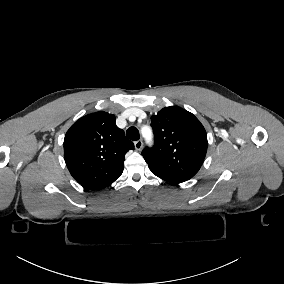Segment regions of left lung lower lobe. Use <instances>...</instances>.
Returning a JSON list of instances; mask_svg holds the SVG:
<instances>
[{
  "label": "left lung lower lobe",
  "mask_w": 284,
  "mask_h": 284,
  "mask_svg": "<svg viewBox=\"0 0 284 284\" xmlns=\"http://www.w3.org/2000/svg\"><path fill=\"white\" fill-rule=\"evenodd\" d=\"M156 176L160 177L161 179H163L167 182L173 183V184H178V183L185 181V180L177 179V178H174V177L160 176V175H156Z\"/></svg>",
  "instance_id": "0a47b994"
}]
</instances>
